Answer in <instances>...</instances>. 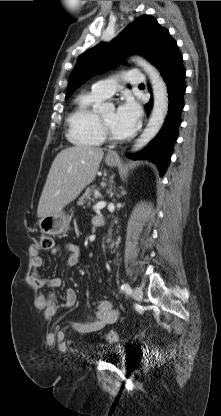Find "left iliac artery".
Wrapping results in <instances>:
<instances>
[{
  "label": "left iliac artery",
  "instance_id": "44dca946",
  "mask_svg": "<svg viewBox=\"0 0 221 416\" xmlns=\"http://www.w3.org/2000/svg\"><path fill=\"white\" fill-rule=\"evenodd\" d=\"M121 289H122V291H124V292H131V288H130V286H129V284L128 283H124L122 286H121Z\"/></svg>",
  "mask_w": 221,
  "mask_h": 416
}]
</instances>
